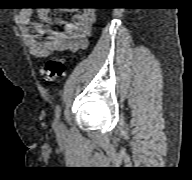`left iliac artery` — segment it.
<instances>
[{"mask_svg": "<svg viewBox=\"0 0 192 180\" xmlns=\"http://www.w3.org/2000/svg\"><path fill=\"white\" fill-rule=\"evenodd\" d=\"M60 114H61V107H60V105H57L55 107V117H56L57 121H59V119H60Z\"/></svg>", "mask_w": 192, "mask_h": 180, "instance_id": "obj_1", "label": "left iliac artery"}]
</instances>
